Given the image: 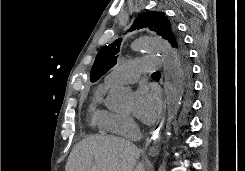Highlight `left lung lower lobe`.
<instances>
[{
    "label": "left lung lower lobe",
    "instance_id": "obj_1",
    "mask_svg": "<svg viewBox=\"0 0 245 171\" xmlns=\"http://www.w3.org/2000/svg\"><path fill=\"white\" fill-rule=\"evenodd\" d=\"M176 67H179V73L183 87L188 90L191 86V61H176Z\"/></svg>",
    "mask_w": 245,
    "mask_h": 171
}]
</instances>
